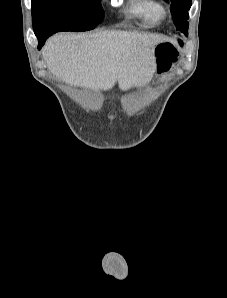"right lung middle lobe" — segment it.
Masks as SVG:
<instances>
[{
    "instance_id": "right-lung-middle-lobe-1",
    "label": "right lung middle lobe",
    "mask_w": 227,
    "mask_h": 298,
    "mask_svg": "<svg viewBox=\"0 0 227 298\" xmlns=\"http://www.w3.org/2000/svg\"><path fill=\"white\" fill-rule=\"evenodd\" d=\"M35 35L57 31H87L103 20L101 0H31Z\"/></svg>"
}]
</instances>
